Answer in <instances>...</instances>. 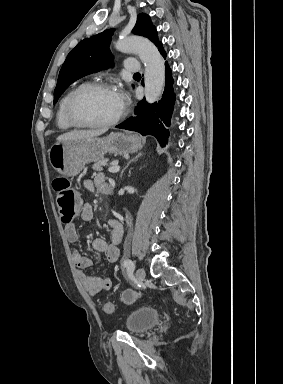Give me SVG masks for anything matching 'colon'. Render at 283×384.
<instances>
[{
    "instance_id": "1",
    "label": "colon",
    "mask_w": 283,
    "mask_h": 384,
    "mask_svg": "<svg viewBox=\"0 0 283 384\" xmlns=\"http://www.w3.org/2000/svg\"><path fill=\"white\" fill-rule=\"evenodd\" d=\"M53 189L56 193L58 210L63 222H71L77 215L79 210V199L72 188L68 179L57 177L53 180ZM142 296L140 292L127 290L121 295V300L124 303H133ZM103 310L111 314L114 312V305L111 302H106L103 305Z\"/></svg>"
}]
</instances>
